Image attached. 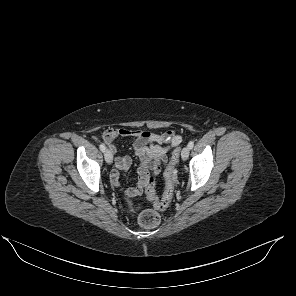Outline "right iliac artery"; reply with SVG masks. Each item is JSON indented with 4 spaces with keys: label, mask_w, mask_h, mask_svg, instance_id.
Listing matches in <instances>:
<instances>
[{
    "label": "right iliac artery",
    "mask_w": 296,
    "mask_h": 296,
    "mask_svg": "<svg viewBox=\"0 0 296 296\" xmlns=\"http://www.w3.org/2000/svg\"><path fill=\"white\" fill-rule=\"evenodd\" d=\"M99 148H100V150H101L102 152H105L106 147H105L104 144L101 143V144L99 145Z\"/></svg>",
    "instance_id": "1"
}]
</instances>
